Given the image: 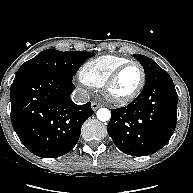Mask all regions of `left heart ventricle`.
I'll return each instance as SVG.
<instances>
[{"mask_svg": "<svg viewBox=\"0 0 193 193\" xmlns=\"http://www.w3.org/2000/svg\"><path fill=\"white\" fill-rule=\"evenodd\" d=\"M140 70L136 66L126 68L117 78L112 93L118 97H124L132 93L140 82Z\"/></svg>", "mask_w": 193, "mask_h": 193, "instance_id": "obj_1", "label": "left heart ventricle"}]
</instances>
